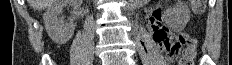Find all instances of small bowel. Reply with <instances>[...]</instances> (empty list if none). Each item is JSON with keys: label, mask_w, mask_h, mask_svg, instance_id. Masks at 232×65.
Segmentation results:
<instances>
[{"label": "small bowel", "mask_w": 232, "mask_h": 65, "mask_svg": "<svg viewBox=\"0 0 232 65\" xmlns=\"http://www.w3.org/2000/svg\"><path fill=\"white\" fill-rule=\"evenodd\" d=\"M149 25L153 31V39L156 43L161 46L163 38L167 36L170 32L167 28L162 25L161 13L160 11H154L149 17Z\"/></svg>", "instance_id": "c3829d8e"}]
</instances>
